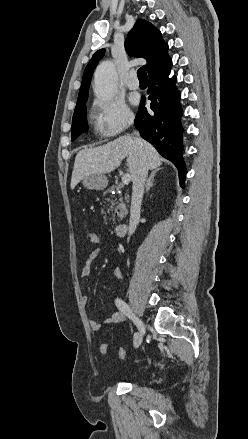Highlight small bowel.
<instances>
[{"mask_svg": "<svg viewBox=\"0 0 248 439\" xmlns=\"http://www.w3.org/2000/svg\"><path fill=\"white\" fill-rule=\"evenodd\" d=\"M101 255V249L97 248L95 250H93L87 257V259L84 262V265L82 267L81 270V275L82 277H87L89 276L90 272H91V266L92 263L94 262V260H96L99 256ZM113 276L116 279H122V272L119 268H115L113 270ZM83 301L86 303L88 301V297L84 296L83 297ZM125 321V315L123 312L117 311L115 313H113L111 316H109L108 318H106L104 320V324H118ZM90 327L92 330L94 331H99L102 327L101 323L97 322L96 320H90L89 321Z\"/></svg>", "mask_w": 248, "mask_h": 439, "instance_id": "c3829d8e", "label": "small bowel"}]
</instances>
